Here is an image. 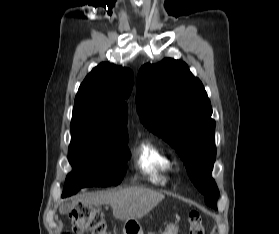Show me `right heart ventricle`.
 <instances>
[{
    "label": "right heart ventricle",
    "mask_w": 279,
    "mask_h": 234,
    "mask_svg": "<svg viewBox=\"0 0 279 234\" xmlns=\"http://www.w3.org/2000/svg\"><path fill=\"white\" fill-rule=\"evenodd\" d=\"M135 164L154 184H166L173 171V161L166 151L149 140L142 141L136 148Z\"/></svg>",
    "instance_id": "right-heart-ventricle-1"
}]
</instances>
